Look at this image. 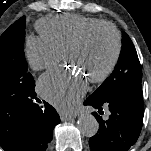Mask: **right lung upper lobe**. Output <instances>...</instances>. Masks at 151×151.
<instances>
[{"instance_id": "right-lung-upper-lobe-1", "label": "right lung upper lobe", "mask_w": 151, "mask_h": 151, "mask_svg": "<svg viewBox=\"0 0 151 151\" xmlns=\"http://www.w3.org/2000/svg\"><path fill=\"white\" fill-rule=\"evenodd\" d=\"M29 105L0 99V146L5 151H23L28 136Z\"/></svg>"}]
</instances>
